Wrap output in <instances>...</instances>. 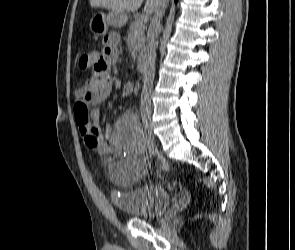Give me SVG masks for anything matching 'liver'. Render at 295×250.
<instances>
[{"label":"liver","mask_w":295,"mask_h":250,"mask_svg":"<svg viewBox=\"0 0 295 250\" xmlns=\"http://www.w3.org/2000/svg\"><path fill=\"white\" fill-rule=\"evenodd\" d=\"M144 0H90L92 7H102L117 12L136 11L140 8ZM157 0H146L144 11L150 14L155 11ZM167 0L165 2V6Z\"/></svg>","instance_id":"1"}]
</instances>
